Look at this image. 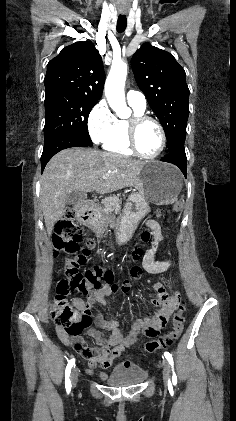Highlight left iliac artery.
<instances>
[{
	"instance_id": "44dca946",
	"label": "left iliac artery",
	"mask_w": 236,
	"mask_h": 421,
	"mask_svg": "<svg viewBox=\"0 0 236 421\" xmlns=\"http://www.w3.org/2000/svg\"><path fill=\"white\" fill-rule=\"evenodd\" d=\"M164 356H165V358L169 361L170 365L172 366L173 377H176V374L174 373V370H173V365H174V362H173L172 355H171L169 352H165V353H164ZM176 378H177V377H176Z\"/></svg>"
}]
</instances>
